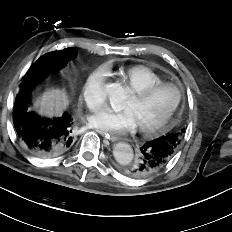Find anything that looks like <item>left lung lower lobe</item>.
I'll return each mask as SVG.
<instances>
[{"mask_svg":"<svg viewBox=\"0 0 232 232\" xmlns=\"http://www.w3.org/2000/svg\"><path fill=\"white\" fill-rule=\"evenodd\" d=\"M173 155L172 149L162 141H148L141 146L136 162L125 173L135 178L152 175L165 167Z\"/></svg>","mask_w":232,"mask_h":232,"instance_id":"1","label":"left lung lower lobe"}]
</instances>
